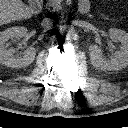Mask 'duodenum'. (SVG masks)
Segmentation results:
<instances>
[{
  "mask_svg": "<svg viewBox=\"0 0 128 128\" xmlns=\"http://www.w3.org/2000/svg\"><path fill=\"white\" fill-rule=\"evenodd\" d=\"M42 4H43V0H30V6H31L33 12L36 13V14L41 11ZM79 10H80L81 13L84 14V13L88 12L89 7L80 5Z\"/></svg>",
  "mask_w": 128,
  "mask_h": 128,
  "instance_id": "1",
  "label": "duodenum"
}]
</instances>
